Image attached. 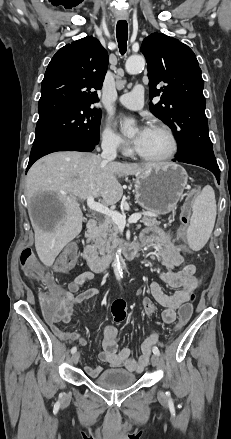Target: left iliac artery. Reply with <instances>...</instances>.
<instances>
[{
    "instance_id": "obj_1",
    "label": "left iliac artery",
    "mask_w": 231,
    "mask_h": 439,
    "mask_svg": "<svg viewBox=\"0 0 231 439\" xmlns=\"http://www.w3.org/2000/svg\"><path fill=\"white\" fill-rule=\"evenodd\" d=\"M153 353L158 355V356L160 355V351H159V349L156 346L153 347Z\"/></svg>"
}]
</instances>
